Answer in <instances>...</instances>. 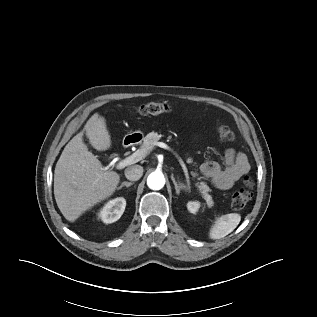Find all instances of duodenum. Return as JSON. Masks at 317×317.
<instances>
[{
    "label": "duodenum",
    "mask_w": 317,
    "mask_h": 317,
    "mask_svg": "<svg viewBox=\"0 0 317 317\" xmlns=\"http://www.w3.org/2000/svg\"><path fill=\"white\" fill-rule=\"evenodd\" d=\"M139 139H140V136L137 134L127 136L123 141V146L125 148H129L133 146L134 144H136L139 141Z\"/></svg>",
    "instance_id": "410a0bca"
}]
</instances>
